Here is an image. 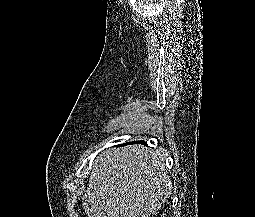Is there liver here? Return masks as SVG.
Listing matches in <instances>:
<instances>
[{
	"label": "liver",
	"mask_w": 255,
	"mask_h": 217,
	"mask_svg": "<svg viewBox=\"0 0 255 217\" xmlns=\"http://www.w3.org/2000/svg\"><path fill=\"white\" fill-rule=\"evenodd\" d=\"M165 155L132 145L106 150L97 158L82 196L88 217H150L171 195Z\"/></svg>",
	"instance_id": "obj_1"
}]
</instances>
